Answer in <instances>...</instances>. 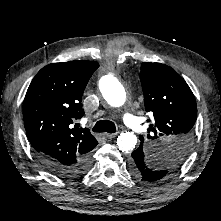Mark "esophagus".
Instances as JSON below:
<instances>
[{
    "label": "esophagus",
    "instance_id": "esophagus-1",
    "mask_svg": "<svg viewBox=\"0 0 221 221\" xmlns=\"http://www.w3.org/2000/svg\"><path fill=\"white\" fill-rule=\"evenodd\" d=\"M117 136V133H105V137L108 139L115 138Z\"/></svg>",
    "mask_w": 221,
    "mask_h": 221
}]
</instances>
